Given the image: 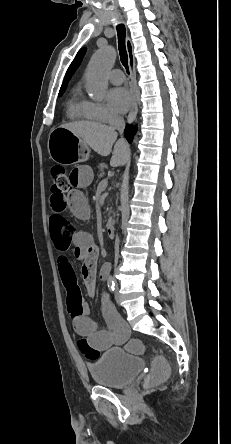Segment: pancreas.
Listing matches in <instances>:
<instances>
[{"mask_svg": "<svg viewBox=\"0 0 231 444\" xmlns=\"http://www.w3.org/2000/svg\"><path fill=\"white\" fill-rule=\"evenodd\" d=\"M97 175L99 178L103 177L105 174V170L107 169V165L105 163L100 164L98 167Z\"/></svg>", "mask_w": 231, "mask_h": 444, "instance_id": "cf45deb5", "label": "pancreas"}]
</instances>
